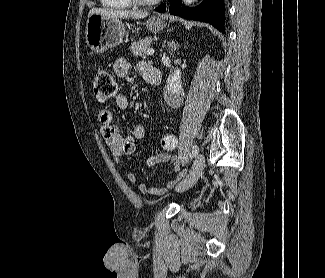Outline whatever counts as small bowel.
Returning a JSON list of instances; mask_svg holds the SVG:
<instances>
[{"instance_id":"obj_1","label":"small bowel","mask_w":325,"mask_h":278,"mask_svg":"<svg viewBox=\"0 0 325 278\" xmlns=\"http://www.w3.org/2000/svg\"><path fill=\"white\" fill-rule=\"evenodd\" d=\"M146 67L147 65L145 63L139 64V70L143 76ZM130 68V62L125 58H120L116 60L113 65L115 74L121 78L126 77L129 74ZM115 103L116 106L123 111L127 110L129 107L128 98L122 93L116 96ZM98 119L101 125L100 131L102 136L104 137L105 143L111 150L112 154L114 155L117 161L123 155L132 154L136 149L137 143L140 142L145 136L146 130L145 126L142 123L137 124L129 135L122 136L118 128L113 125L112 114L109 110H101L98 114ZM169 134L172 133H166L163 135V137ZM167 162H173L174 164L178 163L177 159L172 157L169 153H158L150 157L147 160L146 165L147 167L152 168L158 164ZM184 175V171L178 172L177 175L173 179L169 180L163 188H149L144 183H138L137 187L141 191H147L151 194L158 195L163 193L166 188L173 186L177 181L182 179ZM126 178L131 183L136 182V175L133 172H127Z\"/></svg>"}]
</instances>
